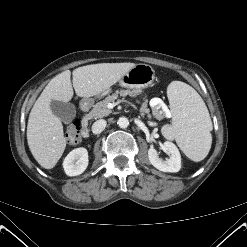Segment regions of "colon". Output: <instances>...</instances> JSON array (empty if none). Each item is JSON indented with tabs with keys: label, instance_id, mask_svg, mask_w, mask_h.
Masks as SVG:
<instances>
[{
	"label": "colon",
	"instance_id": "colon-1",
	"mask_svg": "<svg viewBox=\"0 0 247 247\" xmlns=\"http://www.w3.org/2000/svg\"><path fill=\"white\" fill-rule=\"evenodd\" d=\"M65 136L70 145H75L81 141V127L78 119L67 126Z\"/></svg>",
	"mask_w": 247,
	"mask_h": 247
}]
</instances>
